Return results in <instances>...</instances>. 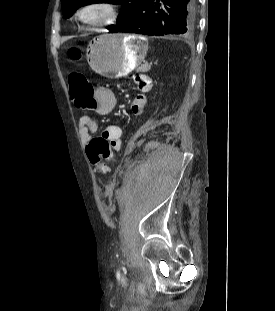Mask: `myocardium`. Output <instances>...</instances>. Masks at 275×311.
Listing matches in <instances>:
<instances>
[{
  "label": "myocardium",
  "mask_w": 275,
  "mask_h": 311,
  "mask_svg": "<svg viewBox=\"0 0 275 311\" xmlns=\"http://www.w3.org/2000/svg\"><path fill=\"white\" fill-rule=\"evenodd\" d=\"M95 13L99 16L95 17ZM119 18V6L112 0L89 1L73 12V20L86 28L111 26L116 24Z\"/></svg>",
  "instance_id": "1"
}]
</instances>
